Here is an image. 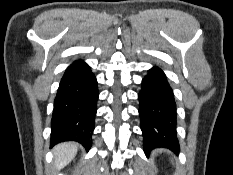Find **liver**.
Returning <instances> with one entry per match:
<instances>
[{"mask_svg":"<svg viewBox=\"0 0 233 175\" xmlns=\"http://www.w3.org/2000/svg\"><path fill=\"white\" fill-rule=\"evenodd\" d=\"M55 154V166L58 170L64 168L77 153V144L72 142H66L57 145L54 149Z\"/></svg>","mask_w":233,"mask_h":175,"instance_id":"liver-1","label":"liver"}]
</instances>
